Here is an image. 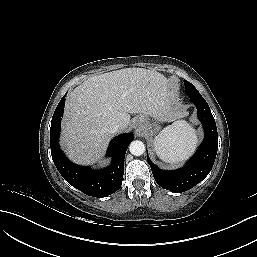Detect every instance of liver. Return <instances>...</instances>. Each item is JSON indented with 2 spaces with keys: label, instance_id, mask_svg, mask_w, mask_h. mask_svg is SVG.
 <instances>
[{
  "label": "liver",
  "instance_id": "1",
  "mask_svg": "<svg viewBox=\"0 0 257 257\" xmlns=\"http://www.w3.org/2000/svg\"><path fill=\"white\" fill-rule=\"evenodd\" d=\"M159 114L174 121L183 113L164 75L144 69L125 68L92 76L66 98L62 121V145L69 158L90 164L102 157L112 133L109 127L130 123V114Z\"/></svg>",
  "mask_w": 257,
  "mask_h": 257
}]
</instances>
